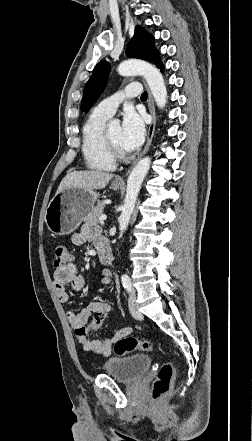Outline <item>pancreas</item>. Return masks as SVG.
<instances>
[{"mask_svg":"<svg viewBox=\"0 0 252 441\" xmlns=\"http://www.w3.org/2000/svg\"><path fill=\"white\" fill-rule=\"evenodd\" d=\"M105 205L101 202L97 204V206L91 211V213L85 218L87 222L90 223H98L99 217L103 214Z\"/></svg>","mask_w":252,"mask_h":441,"instance_id":"cf45deb5","label":"pancreas"}]
</instances>
